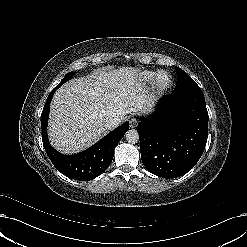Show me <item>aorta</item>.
Listing matches in <instances>:
<instances>
[{"label": "aorta", "instance_id": "obj_1", "mask_svg": "<svg viewBox=\"0 0 247 247\" xmlns=\"http://www.w3.org/2000/svg\"><path fill=\"white\" fill-rule=\"evenodd\" d=\"M126 140L131 143V144H135L139 141V133L137 130L135 129H130L126 132Z\"/></svg>", "mask_w": 247, "mask_h": 247}]
</instances>
